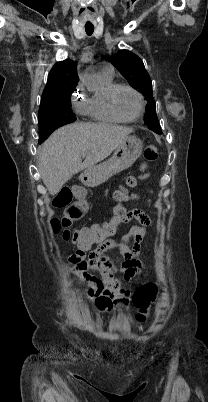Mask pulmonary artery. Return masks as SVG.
<instances>
[{
  "label": "pulmonary artery",
  "mask_w": 208,
  "mask_h": 402,
  "mask_svg": "<svg viewBox=\"0 0 208 402\" xmlns=\"http://www.w3.org/2000/svg\"><path fill=\"white\" fill-rule=\"evenodd\" d=\"M94 71L100 76H104L111 79L114 77V70L106 62L98 63L97 65H95Z\"/></svg>",
  "instance_id": "pulmonary-artery-1"
}]
</instances>
